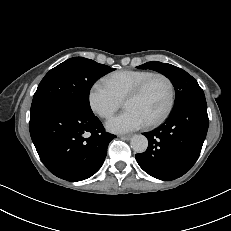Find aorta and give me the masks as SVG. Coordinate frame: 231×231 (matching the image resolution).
Here are the masks:
<instances>
[{"mask_svg": "<svg viewBox=\"0 0 231 231\" xmlns=\"http://www.w3.org/2000/svg\"><path fill=\"white\" fill-rule=\"evenodd\" d=\"M131 148L136 152V153H143L147 150L148 147V139L141 134L134 135L131 138L130 142Z\"/></svg>", "mask_w": 231, "mask_h": 231, "instance_id": "aorta-1", "label": "aorta"}]
</instances>
